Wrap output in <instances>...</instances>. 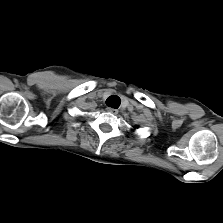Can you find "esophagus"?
<instances>
[{"label": "esophagus", "mask_w": 223, "mask_h": 223, "mask_svg": "<svg viewBox=\"0 0 223 223\" xmlns=\"http://www.w3.org/2000/svg\"><path fill=\"white\" fill-rule=\"evenodd\" d=\"M107 111L115 115L118 114V110L111 107H107Z\"/></svg>", "instance_id": "34e87169"}]
</instances>
